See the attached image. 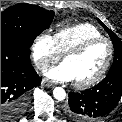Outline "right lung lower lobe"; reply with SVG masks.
Here are the masks:
<instances>
[{
  "instance_id": "obj_1",
  "label": "right lung lower lobe",
  "mask_w": 122,
  "mask_h": 122,
  "mask_svg": "<svg viewBox=\"0 0 122 122\" xmlns=\"http://www.w3.org/2000/svg\"><path fill=\"white\" fill-rule=\"evenodd\" d=\"M40 83L30 61V47L1 39V122H14L23 115L29 91Z\"/></svg>"
}]
</instances>
